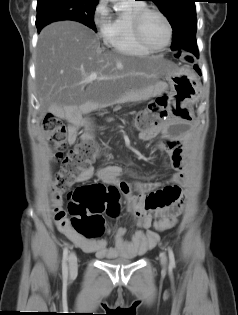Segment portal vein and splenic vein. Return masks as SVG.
Segmentation results:
<instances>
[{"label": "portal vein and splenic vein", "mask_w": 238, "mask_h": 315, "mask_svg": "<svg viewBox=\"0 0 238 315\" xmlns=\"http://www.w3.org/2000/svg\"><path fill=\"white\" fill-rule=\"evenodd\" d=\"M96 79H98V75H97V73L93 72L89 76L86 77L85 82L89 83V82H92L93 80H96ZM100 79H104V78H100Z\"/></svg>", "instance_id": "portal-vein-and-splenic-vein-1"}]
</instances>
